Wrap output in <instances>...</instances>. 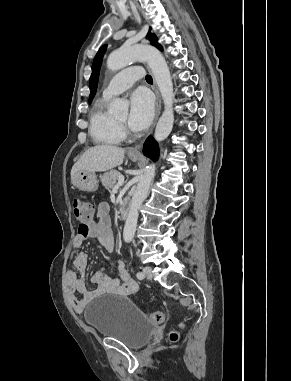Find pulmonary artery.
<instances>
[{
  "label": "pulmonary artery",
  "mask_w": 291,
  "mask_h": 381,
  "mask_svg": "<svg viewBox=\"0 0 291 381\" xmlns=\"http://www.w3.org/2000/svg\"><path fill=\"white\" fill-rule=\"evenodd\" d=\"M143 76V69L139 66L126 68L116 74L103 90V96L110 98L130 88Z\"/></svg>",
  "instance_id": "1"
}]
</instances>
